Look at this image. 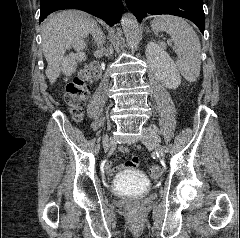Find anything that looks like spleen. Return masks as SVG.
<instances>
[{
	"label": "spleen",
	"instance_id": "obj_1",
	"mask_svg": "<svg viewBox=\"0 0 240 238\" xmlns=\"http://www.w3.org/2000/svg\"><path fill=\"white\" fill-rule=\"evenodd\" d=\"M151 28L154 32L165 31L171 36L180 54L176 63L178 69L187 81H196L201 67V45L193 28L184 19L171 15L155 17ZM161 45L165 47V43L161 42Z\"/></svg>",
	"mask_w": 240,
	"mask_h": 238
}]
</instances>
